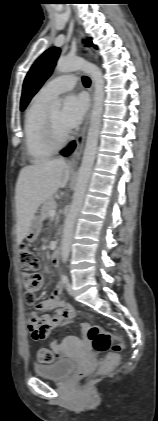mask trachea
<instances>
[{
  "label": "trachea",
  "instance_id": "trachea-1",
  "mask_svg": "<svg viewBox=\"0 0 158 421\" xmlns=\"http://www.w3.org/2000/svg\"><path fill=\"white\" fill-rule=\"evenodd\" d=\"M82 81H83L84 86H86V87L90 86L91 81L87 76H83Z\"/></svg>",
  "mask_w": 158,
  "mask_h": 421
}]
</instances>
